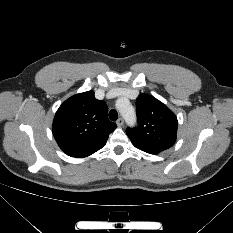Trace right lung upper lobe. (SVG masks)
<instances>
[{"label": "right lung upper lobe", "instance_id": "obj_1", "mask_svg": "<svg viewBox=\"0 0 233 233\" xmlns=\"http://www.w3.org/2000/svg\"><path fill=\"white\" fill-rule=\"evenodd\" d=\"M116 127L108 120L106 103L88 91L72 96L59 107L52 130L67 155L83 158L104 147Z\"/></svg>", "mask_w": 233, "mask_h": 233}]
</instances>
